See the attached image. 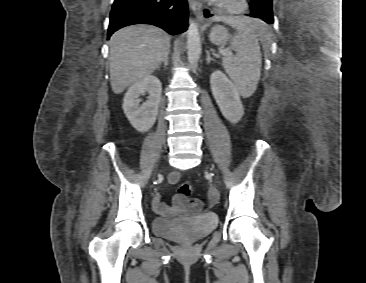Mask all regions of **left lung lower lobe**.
I'll list each match as a JSON object with an SVG mask.
<instances>
[{
    "label": "left lung lower lobe",
    "instance_id": "0a47b994",
    "mask_svg": "<svg viewBox=\"0 0 366 283\" xmlns=\"http://www.w3.org/2000/svg\"><path fill=\"white\" fill-rule=\"evenodd\" d=\"M204 12H205L204 16L206 18H209V17L213 16V14H211L208 10H205ZM247 15L250 16V17L258 18V16L253 14L252 12L250 14H247Z\"/></svg>",
    "mask_w": 366,
    "mask_h": 283
}]
</instances>
